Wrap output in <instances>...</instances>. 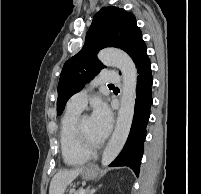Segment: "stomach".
<instances>
[{
    "label": "stomach",
    "mask_w": 201,
    "mask_h": 194,
    "mask_svg": "<svg viewBox=\"0 0 201 194\" xmlns=\"http://www.w3.org/2000/svg\"><path fill=\"white\" fill-rule=\"evenodd\" d=\"M97 175H98L97 167L95 165H92V164L84 167V169L81 173V176L85 180H93L97 177Z\"/></svg>",
    "instance_id": "stomach-1"
}]
</instances>
